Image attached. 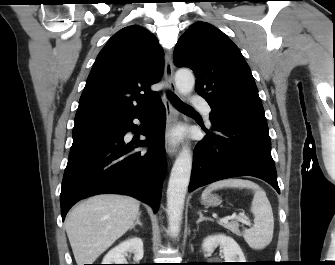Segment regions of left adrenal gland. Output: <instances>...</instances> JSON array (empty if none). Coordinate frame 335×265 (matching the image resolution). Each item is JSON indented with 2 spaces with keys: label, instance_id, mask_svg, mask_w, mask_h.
<instances>
[{
  "label": "left adrenal gland",
  "instance_id": "1",
  "mask_svg": "<svg viewBox=\"0 0 335 265\" xmlns=\"http://www.w3.org/2000/svg\"><path fill=\"white\" fill-rule=\"evenodd\" d=\"M198 214H199V219L197 220V224H199L203 220H212L211 218L204 217L201 210L198 211Z\"/></svg>",
  "mask_w": 335,
  "mask_h": 265
}]
</instances>
